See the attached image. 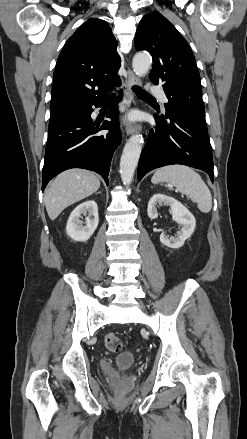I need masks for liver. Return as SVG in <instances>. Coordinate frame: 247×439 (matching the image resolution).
Segmentation results:
<instances>
[{
    "instance_id": "6515ba94",
    "label": "liver",
    "mask_w": 247,
    "mask_h": 439,
    "mask_svg": "<svg viewBox=\"0 0 247 439\" xmlns=\"http://www.w3.org/2000/svg\"><path fill=\"white\" fill-rule=\"evenodd\" d=\"M99 187L100 180L91 171L76 168L60 173L44 195L49 218L55 220L65 208L91 196Z\"/></svg>"
}]
</instances>
